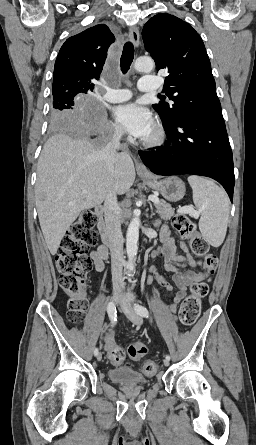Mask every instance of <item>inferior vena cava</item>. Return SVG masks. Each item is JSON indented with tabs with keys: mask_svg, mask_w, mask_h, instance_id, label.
<instances>
[{
	"mask_svg": "<svg viewBox=\"0 0 256 445\" xmlns=\"http://www.w3.org/2000/svg\"><path fill=\"white\" fill-rule=\"evenodd\" d=\"M123 130L116 127L110 142L102 151L103 159L108 168H112L115 164L117 150L120 148V139ZM119 205L116 194L110 190L104 202V216L108 235V245L111 253V271L113 289L120 292L124 289V278L122 269L124 265L123 252V235L121 232V221L118 215Z\"/></svg>",
	"mask_w": 256,
	"mask_h": 445,
	"instance_id": "602c4592",
	"label": "inferior vena cava"
}]
</instances>
